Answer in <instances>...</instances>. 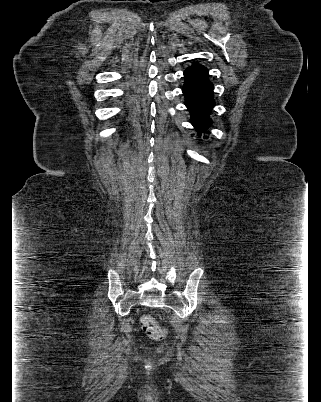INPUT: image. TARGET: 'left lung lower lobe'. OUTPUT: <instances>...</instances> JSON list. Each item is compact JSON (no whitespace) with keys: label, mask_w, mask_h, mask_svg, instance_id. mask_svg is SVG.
I'll return each mask as SVG.
<instances>
[{"label":"left lung lower lobe","mask_w":321,"mask_h":402,"mask_svg":"<svg viewBox=\"0 0 321 402\" xmlns=\"http://www.w3.org/2000/svg\"><path fill=\"white\" fill-rule=\"evenodd\" d=\"M185 105L191 114V123L199 133L204 132L212 124L210 112L215 105L213 84L208 79V70L194 63L184 72Z\"/></svg>","instance_id":"1"}]
</instances>
